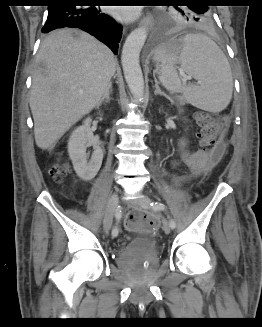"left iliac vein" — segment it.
I'll return each instance as SVG.
<instances>
[{
	"label": "left iliac vein",
	"instance_id": "obj_1",
	"mask_svg": "<svg viewBox=\"0 0 262 327\" xmlns=\"http://www.w3.org/2000/svg\"><path fill=\"white\" fill-rule=\"evenodd\" d=\"M150 203H151V199L147 196H141L138 199V204L143 207V208H149L150 207ZM163 230L166 234L170 233V225L167 221H163Z\"/></svg>",
	"mask_w": 262,
	"mask_h": 327
}]
</instances>
